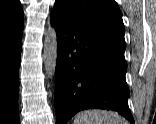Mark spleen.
Listing matches in <instances>:
<instances>
[{"label": "spleen", "instance_id": "3e777b00", "mask_svg": "<svg viewBox=\"0 0 156 124\" xmlns=\"http://www.w3.org/2000/svg\"><path fill=\"white\" fill-rule=\"evenodd\" d=\"M73 124H128V122L116 113L93 109L78 113Z\"/></svg>", "mask_w": 156, "mask_h": 124}]
</instances>
